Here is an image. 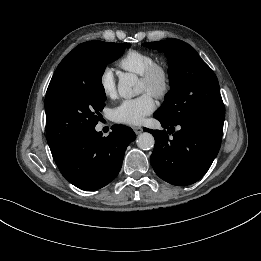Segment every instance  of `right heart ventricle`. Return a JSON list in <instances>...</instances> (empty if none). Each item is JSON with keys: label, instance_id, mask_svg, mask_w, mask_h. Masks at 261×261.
Returning a JSON list of instances; mask_svg holds the SVG:
<instances>
[{"label": "right heart ventricle", "instance_id": "obj_1", "mask_svg": "<svg viewBox=\"0 0 261 261\" xmlns=\"http://www.w3.org/2000/svg\"><path fill=\"white\" fill-rule=\"evenodd\" d=\"M155 62V56L149 52L129 50L118 60V65L125 71L141 76Z\"/></svg>", "mask_w": 261, "mask_h": 261}]
</instances>
